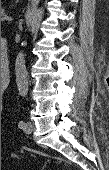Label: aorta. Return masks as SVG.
I'll list each match as a JSON object with an SVG mask.
<instances>
[{"instance_id": "aorta-1", "label": "aorta", "mask_w": 109, "mask_h": 170, "mask_svg": "<svg viewBox=\"0 0 109 170\" xmlns=\"http://www.w3.org/2000/svg\"><path fill=\"white\" fill-rule=\"evenodd\" d=\"M31 8L27 14V22H31L33 9L36 8L40 2V0H30ZM15 75H16V83L18 87L19 94L22 97H25L28 93V81H27V70L25 65V56L23 52H19L16 61H15Z\"/></svg>"}]
</instances>
